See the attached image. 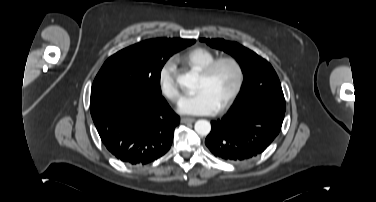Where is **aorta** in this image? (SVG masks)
Returning <instances> with one entry per match:
<instances>
[{
	"label": "aorta",
	"instance_id": "aorta-1",
	"mask_svg": "<svg viewBox=\"0 0 376 202\" xmlns=\"http://www.w3.org/2000/svg\"><path fill=\"white\" fill-rule=\"evenodd\" d=\"M196 81L197 74L194 72H188L177 77V82L181 88H192ZM194 128L197 134L200 136H206L211 131V124L207 120H198L196 121Z\"/></svg>",
	"mask_w": 376,
	"mask_h": 202
}]
</instances>
